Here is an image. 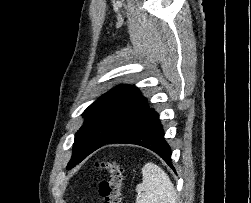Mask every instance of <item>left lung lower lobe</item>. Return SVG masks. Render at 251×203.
Wrapping results in <instances>:
<instances>
[{"mask_svg": "<svg viewBox=\"0 0 251 203\" xmlns=\"http://www.w3.org/2000/svg\"><path fill=\"white\" fill-rule=\"evenodd\" d=\"M111 143L136 144L148 148L158 154L174 170L171 149L164 139V130L159 115L154 109L146 110L105 144Z\"/></svg>", "mask_w": 251, "mask_h": 203, "instance_id": "1", "label": "left lung lower lobe"}]
</instances>
